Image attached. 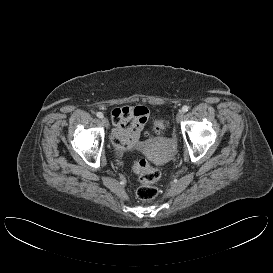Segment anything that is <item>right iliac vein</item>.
<instances>
[{
    "mask_svg": "<svg viewBox=\"0 0 273 273\" xmlns=\"http://www.w3.org/2000/svg\"><path fill=\"white\" fill-rule=\"evenodd\" d=\"M102 123H103V125H104L106 128L109 127V122H108L107 118L103 117V118H102Z\"/></svg>",
    "mask_w": 273,
    "mask_h": 273,
    "instance_id": "obj_1",
    "label": "right iliac vein"
}]
</instances>
